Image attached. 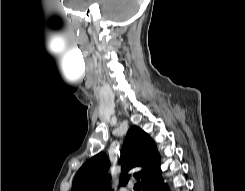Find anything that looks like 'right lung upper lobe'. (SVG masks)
<instances>
[{"instance_id":"1","label":"right lung upper lobe","mask_w":245,"mask_h":191,"mask_svg":"<svg viewBox=\"0 0 245 191\" xmlns=\"http://www.w3.org/2000/svg\"><path fill=\"white\" fill-rule=\"evenodd\" d=\"M122 176L120 182L126 185L130 169L141 166L134 173L142 180L143 189L162 175L160 156L154 141L137 126H132L125 138L120 156ZM109 162L104 153H99L86 161L75 175L71 191H111L107 166Z\"/></svg>"}]
</instances>
